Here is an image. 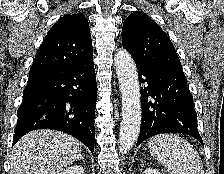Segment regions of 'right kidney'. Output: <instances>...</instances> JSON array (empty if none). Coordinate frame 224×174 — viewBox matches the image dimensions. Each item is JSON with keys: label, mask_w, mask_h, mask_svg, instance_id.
<instances>
[{"label": "right kidney", "mask_w": 224, "mask_h": 174, "mask_svg": "<svg viewBox=\"0 0 224 174\" xmlns=\"http://www.w3.org/2000/svg\"><path fill=\"white\" fill-rule=\"evenodd\" d=\"M59 174H85L84 169L80 165H74L66 168L63 172Z\"/></svg>", "instance_id": "right-kidney-1"}]
</instances>
